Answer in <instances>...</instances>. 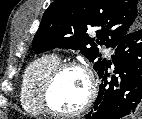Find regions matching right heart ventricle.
Listing matches in <instances>:
<instances>
[{"label": "right heart ventricle", "mask_w": 142, "mask_h": 119, "mask_svg": "<svg viewBox=\"0 0 142 119\" xmlns=\"http://www.w3.org/2000/svg\"><path fill=\"white\" fill-rule=\"evenodd\" d=\"M60 63L56 54H46L34 60L24 72L20 100L26 112L33 115L45 114L40 100L43 81L46 76Z\"/></svg>", "instance_id": "obj_1"}]
</instances>
